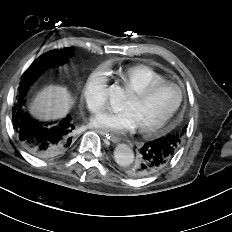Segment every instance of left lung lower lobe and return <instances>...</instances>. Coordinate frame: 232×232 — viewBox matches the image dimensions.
<instances>
[{"mask_svg":"<svg viewBox=\"0 0 232 232\" xmlns=\"http://www.w3.org/2000/svg\"><path fill=\"white\" fill-rule=\"evenodd\" d=\"M175 151L161 139L146 142L139 150L136 164L130 172L135 178L147 177L163 169L173 158Z\"/></svg>","mask_w":232,"mask_h":232,"instance_id":"0a47b994","label":"left lung lower lobe"}]
</instances>
